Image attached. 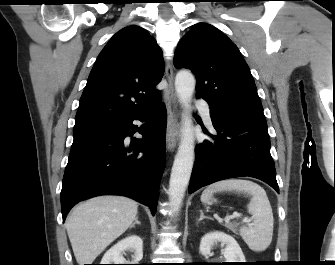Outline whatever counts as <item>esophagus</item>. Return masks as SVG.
I'll return each mask as SVG.
<instances>
[{"instance_id": "esophagus-1", "label": "esophagus", "mask_w": 335, "mask_h": 265, "mask_svg": "<svg viewBox=\"0 0 335 265\" xmlns=\"http://www.w3.org/2000/svg\"><path fill=\"white\" fill-rule=\"evenodd\" d=\"M165 76L168 82V88L165 95V105L167 109V133L166 147L173 150L176 147L179 123L176 111L178 109V97L174 87V76L171 63L168 61L165 69Z\"/></svg>"}]
</instances>
